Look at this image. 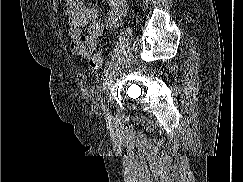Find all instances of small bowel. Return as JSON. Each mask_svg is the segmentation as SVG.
<instances>
[{
  "label": "small bowel",
  "mask_w": 243,
  "mask_h": 182,
  "mask_svg": "<svg viewBox=\"0 0 243 182\" xmlns=\"http://www.w3.org/2000/svg\"><path fill=\"white\" fill-rule=\"evenodd\" d=\"M109 11L104 20L99 19L96 6L84 0H65L64 13L68 17L70 48L75 55L89 57L97 48L98 40L106 30L120 25L127 13V0H105ZM87 29V33L83 29Z\"/></svg>",
  "instance_id": "c3829d8e"
}]
</instances>
